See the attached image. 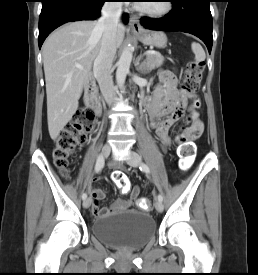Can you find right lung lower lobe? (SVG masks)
<instances>
[{
	"label": "right lung lower lobe",
	"mask_w": 258,
	"mask_h": 275,
	"mask_svg": "<svg viewBox=\"0 0 258 275\" xmlns=\"http://www.w3.org/2000/svg\"><path fill=\"white\" fill-rule=\"evenodd\" d=\"M106 0H41L38 43L41 48L46 37L60 25L69 21L94 20ZM123 20L128 22V15Z\"/></svg>",
	"instance_id": "obj_1"
}]
</instances>
